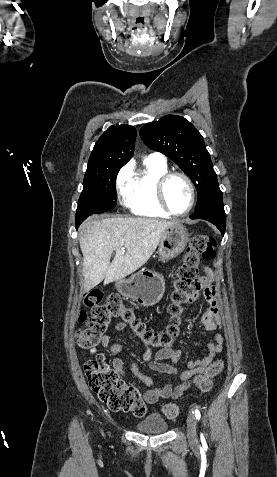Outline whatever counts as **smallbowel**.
Returning <instances> with one entry per match:
<instances>
[{
    "label": "small bowel",
    "instance_id": "1",
    "mask_svg": "<svg viewBox=\"0 0 277 477\" xmlns=\"http://www.w3.org/2000/svg\"><path fill=\"white\" fill-rule=\"evenodd\" d=\"M205 276L201 279V287L203 298L208 304L205 312L201 317V323L204 328L209 332H216L222 325L220 315V300L217 290L214 286V273L209 267H205ZM198 299V295L192 298L191 302ZM127 325L120 323L116 326L117 330H123ZM224 344L223 337L215 333L214 341L207 344L208 354L198 360L189 361L187 364V370L179 373L174 366L181 356L182 351L180 349H161L156 352L154 359L152 360V352L148 346H146L143 354V360L148 363L149 368L159 373H165L172 375L173 382L163 386L155 387L153 379L148 375L140 372L136 363L132 364V372L143 382L149 389L144 393V399L149 404H154L160 399H177L181 397L191 386L193 378L197 374L204 373L214 361L215 356L222 350ZM101 345L104 348H109L112 357V367L118 376L124 377L126 375L124 369V362L119 356L122 350V346L118 343L111 344L110 337L104 336ZM90 353L95 356L96 359L105 360V356L96 347L90 348ZM164 360H170L171 364L165 363Z\"/></svg>",
    "mask_w": 277,
    "mask_h": 477
}]
</instances>
